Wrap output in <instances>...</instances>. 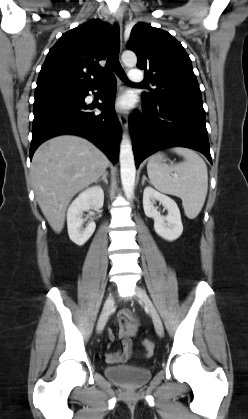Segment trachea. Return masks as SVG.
Masks as SVG:
<instances>
[{
  "instance_id": "trachea-1",
  "label": "trachea",
  "mask_w": 248,
  "mask_h": 419,
  "mask_svg": "<svg viewBox=\"0 0 248 419\" xmlns=\"http://www.w3.org/2000/svg\"><path fill=\"white\" fill-rule=\"evenodd\" d=\"M119 48H120V43H119L118 26L115 25L114 32H113V37H112V41H111L110 52H109V56H108V59H107L106 70L107 71L114 70L116 75L124 83L132 84L128 80V78L126 76V73L124 72L123 68L120 65V62H119Z\"/></svg>"
}]
</instances>
